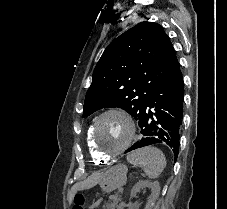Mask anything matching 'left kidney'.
<instances>
[{
	"mask_svg": "<svg viewBox=\"0 0 227 209\" xmlns=\"http://www.w3.org/2000/svg\"><path fill=\"white\" fill-rule=\"evenodd\" d=\"M143 187H149V189H151V195L145 209H153L155 201L160 195L159 183L158 181H154V183H150V181H139V183L134 185L131 191V197H136L137 193H139L140 189H143Z\"/></svg>",
	"mask_w": 227,
	"mask_h": 209,
	"instance_id": "5707ae66",
	"label": "left kidney"
}]
</instances>
